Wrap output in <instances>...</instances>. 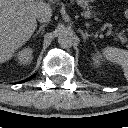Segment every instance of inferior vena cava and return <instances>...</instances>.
Wrapping results in <instances>:
<instances>
[{
	"label": "inferior vena cava",
	"mask_w": 128,
	"mask_h": 128,
	"mask_svg": "<svg viewBox=\"0 0 128 128\" xmlns=\"http://www.w3.org/2000/svg\"><path fill=\"white\" fill-rule=\"evenodd\" d=\"M52 11L51 10H45L40 12L37 15V19L40 23H48L51 20Z\"/></svg>",
	"instance_id": "602c4592"
}]
</instances>
